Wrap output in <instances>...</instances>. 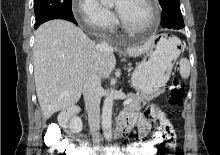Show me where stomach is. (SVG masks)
<instances>
[{
	"label": "stomach",
	"mask_w": 220,
	"mask_h": 155,
	"mask_svg": "<svg viewBox=\"0 0 220 155\" xmlns=\"http://www.w3.org/2000/svg\"><path fill=\"white\" fill-rule=\"evenodd\" d=\"M147 50L146 58L131 77L132 87L145 96L159 95L168 82L174 62L180 54V40L175 36H157Z\"/></svg>",
	"instance_id": "obj_1"
}]
</instances>
